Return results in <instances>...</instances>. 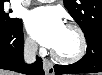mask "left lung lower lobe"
Segmentation results:
<instances>
[{
    "instance_id": "1",
    "label": "left lung lower lobe",
    "mask_w": 102,
    "mask_h": 75,
    "mask_svg": "<svg viewBox=\"0 0 102 75\" xmlns=\"http://www.w3.org/2000/svg\"><path fill=\"white\" fill-rule=\"evenodd\" d=\"M87 52L71 65H55V74H77L102 72V30H93L85 35Z\"/></svg>"
}]
</instances>
